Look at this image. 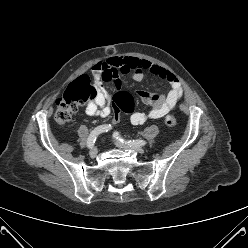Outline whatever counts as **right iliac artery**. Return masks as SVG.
Segmentation results:
<instances>
[{"label": "right iliac artery", "mask_w": 248, "mask_h": 248, "mask_svg": "<svg viewBox=\"0 0 248 248\" xmlns=\"http://www.w3.org/2000/svg\"><path fill=\"white\" fill-rule=\"evenodd\" d=\"M112 128V126L109 125H101L96 127L89 135L88 139H87V147L88 148H92L98 135L103 133V132H107Z\"/></svg>", "instance_id": "1"}]
</instances>
